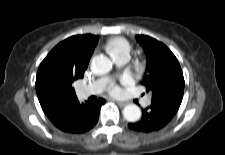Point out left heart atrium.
<instances>
[{
  "label": "left heart atrium",
  "mask_w": 225,
  "mask_h": 155,
  "mask_svg": "<svg viewBox=\"0 0 225 155\" xmlns=\"http://www.w3.org/2000/svg\"><path fill=\"white\" fill-rule=\"evenodd\" d=\"M131 82V79L128 77V76H124L122 79H121V83L122 84H129ZM111 92L113 94H119L121 92V88L119 85H114L112 88H111Z\"/></svg>",
  "instance_id": "1"
}]
</instances>
